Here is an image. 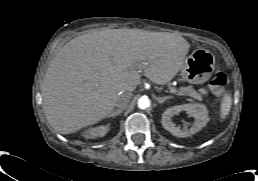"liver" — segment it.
Returning <instances> with one entry per match:
<instances>
[{"mask_svg": "<svg viewBox=\"0 0 258 181\" xmlns=\"http://www.w3.org/2000/svg\"><path fill=\"white\" fill-rule=\"evenodd\" d=\"M189 43L167 32L105 29L67 42L46 71L41 92L52 128L70 134L107 117L123 93L140 84L138 70L155 84L181 70Z\"/></svg>", "mask_w": 258, "mask_h": 181, "instance_id": "1", "label": "liver"}]
</instances>
